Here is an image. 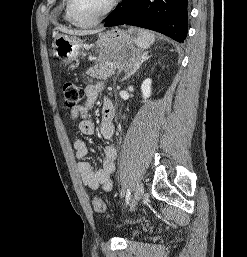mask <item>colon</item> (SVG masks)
Wrapping results in <instances>:
<instances>
[{
  "mask_svg": "<svg viewBox=\"0 0 247 257\" xmlns=\"http://www.w3.org/2000/svg\"><path fill=\"white\" fill-rule=\"evenodd\" d=\"M63 101L67 107L76 106L83 97V90L71 81H66L62 85ZM92 206L99 214L106 213V205L103 199L95 196L92 199Z\"/></svg>",
  "mask_w": 247,
  "mask_h": 257,
  "instance_id": "colon-1",
  "label": "colon"
}]
</instances>
